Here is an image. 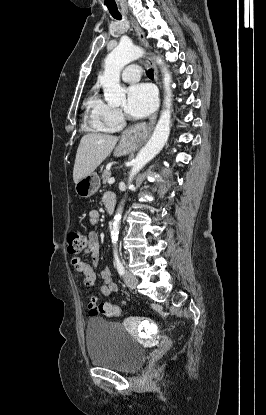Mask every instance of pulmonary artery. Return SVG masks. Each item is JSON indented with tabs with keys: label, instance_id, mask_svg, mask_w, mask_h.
Segmentation results:
<instances>
[{
	"label": "pulmonary artery",
	"instance_id": "obj_1",
	"mask_svg": "<svg viewBox=\"0 0 266 415\" xmlns=\"http://www.w3.org/2000/svg\"><path fill=\"white\" fill-rule=\"evenodd\" d=\"M140 67L132 64L127 66L122 72V79L126 82H135L140 78Z\"/></svg>",
	"mask_w": 266,
	"mask_h": 415
}]
</instances>
